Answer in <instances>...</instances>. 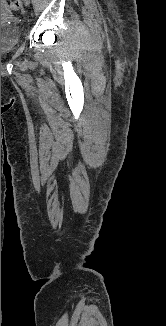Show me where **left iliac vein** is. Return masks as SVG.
<instances>
[{
    "instance_id": "obj_1",
    "label": "left iliac vein",
    "mask_w": 166,
    "mask_h": 326,
    "mask_svg": "<svg viewBox=\"0 0 166 326\" xmlns=\"http://www.w3.org/2000/svg\"><path fill=\"white\" fill-rule=\"evenodd\" d=\"M24 2H25L26 5L30 4V0H24Z\"/></svg>"
}]
</instances>
